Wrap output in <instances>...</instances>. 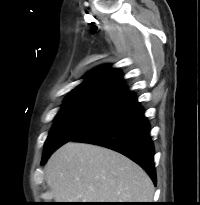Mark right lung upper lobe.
Wrapping results in <instances>:
<instances>
[{
  "label": "right lung upper lobe",
  "mask_w": 200,
  "mask_h": 205,
  "mask_svg": "<svg viewBox=\"0 0 200 205\" xmlns=\"http://www.w3.org/2000/svg\"><path fill=\"white\" fill-rule=\"evenodd\" d=\"M87 79L77 86L66 101L70 100H106L117 101L126 93L123 75L118 69L104 65L89 72Z\"/></svg>",
  "instance_id": "obj_1"
}]
</instances>
